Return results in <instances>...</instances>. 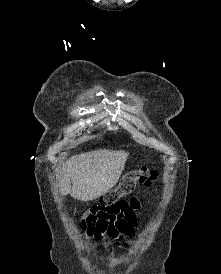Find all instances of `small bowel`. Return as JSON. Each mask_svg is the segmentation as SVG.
Here are the masks:
<instances>
[{"label":"small bowel","mask_w":221,"mask_h":274,"mask_svg":"<svg viewBox=\"0 0 221 274\" xmlns=\"http://www.w3.org/2000/svg\"><path fill=\"white\" fill-rule=\"evenodd\" d=\"M139 208V201L135 197L113 205H94L83 215L80 228L88 240L122 247L135 236L136 212Z\"/></svg>","instance_id":"obj_1"}]
</instances>
